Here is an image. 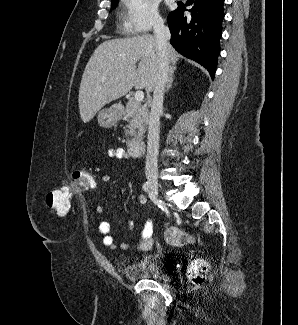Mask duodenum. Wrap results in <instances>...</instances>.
Returning <instances> with one entry per match:
<instances>
[{"label": "duodenum", "instance_id": "410a0bca", "mask_svg": "<svg viewBox=\"0 0 298 325\" xmlns=\"http://www.w3.org/2000/svg\"><path fill=\"white\" fill-rule=\"evenodd\" d=\"M145 151V143L141 139L133 140L129 143V153L133 157L141 156Z\"/></svg>", "mask_w": 298, "mask_h": 325}]
</instances>
